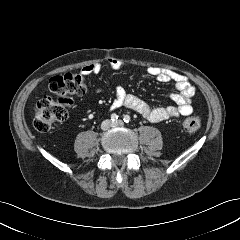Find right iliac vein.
<instances>
[{
    "instance_id": "63e3f726",
    "label": "right iliac vein",
    "mask_w": 240,
    "mask_h": 240,
    "mask_svg": "<svg viewBox=\"0 0 240 240\" xmlns=\"http://www.w3.org/2000/svg\"><path fill=\"white\" fill-rule=\"evenodd\" d=\"M112 126V122L110 120H106L102 123V129L107 130Z\"/></svg>"
}]
</instances>
